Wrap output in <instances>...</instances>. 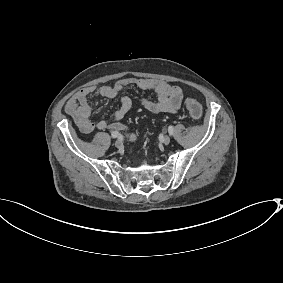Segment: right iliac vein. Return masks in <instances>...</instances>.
Listing matches in <instances>:
<instances>
[{"label": "right iliac vein", "mask_w": 283, "mask_h": 283, "mask_svg": "<svg viewBox=\"0 0 283 283\" xmlns=\"http://www.w3.org/2000/svg\"><path fill=\"white\" fill-rule=\"evenodd\" d=\"M115 146L120 149V148L123 147V142H122L121 140H117V141L115 142Z\"/></svg>", "instance_id": "obj_1"}]
</instances>
